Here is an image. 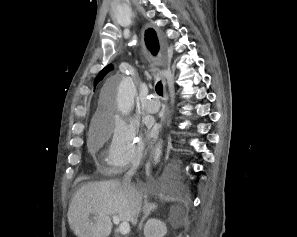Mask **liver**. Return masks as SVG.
<instances>
[{
    "label": "liver",
    "mask_w": 297,
    "mask_h": 237,
    "mask_svg": "<svg viewBox=\"0 0 297 237\" xmlns=\"http://www.w3.org/2000/svg\"><path fill=\"white\" fill-rule=\"evenodd\" d=\"M141 198L142 194L136 191ZM97 217L90 220V215ZM136 225L132 200L119 181L91 182L73 196L68 210V223L77 237H108L112 231L110 216Z\"/></svg>",
    "instance_id": "obj_1"
}]
</instances>
